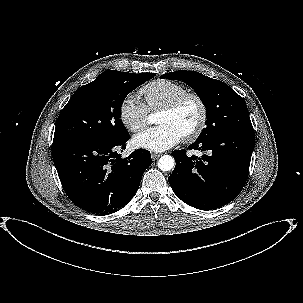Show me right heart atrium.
Masks as SVG:
<instances>
[{
    "instance_id": "1",
    "label": "right heart atrium",
    "mask_w": 303,
    "mask_h": 303,
    "mask_svg": "<svg viewBox=\"0 0 303 303\" xmlns=\"http://www.w3.org/2000/svg\"><path fill=\"white\" fill-rule=\"evenodd\" d=\"M149 110L135 94L126 95L119 106V116L124 126L132 132L143 129L148 121Z\"/></svg>"
}]
</instances>
